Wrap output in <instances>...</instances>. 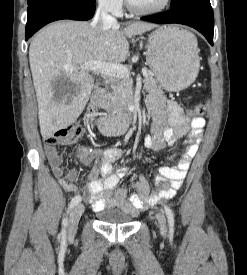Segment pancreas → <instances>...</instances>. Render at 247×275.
Instances as JSON below:
<instances>
[{"instance_id": "1", "label": "pancreas", "mask_w": 247, "mask_h": 275, "mask_svg": "<svg viewBox=\"0 0 247 275\" xmlns=\"http://www.w3.org/2000/svg\"><path fill=\"white\" fill-rule=\"evenodd\" d=\"M144 87L149 93H163L151 73L145 77ZM111 88L112 91L102 99L100 106L112 114L122 113L133 98L132 82L128 79L114 78L111 80Z\"/></svg>"}]
</instances>
